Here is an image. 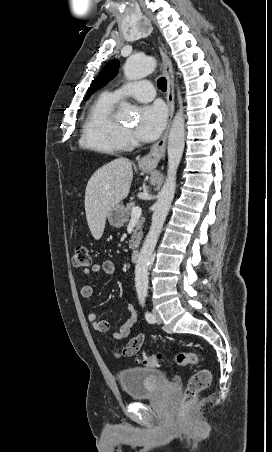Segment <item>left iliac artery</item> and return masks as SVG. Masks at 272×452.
Returning a JSON list of instances; mask_svg holds the SVG:
<instances>
[{"label":"left iliac artery","mask_w":272,"mask_h":452,"mask_svg":"<svg viewBox=\"0 0 272 452\" xmlns=\"http://www.w3.org/2000/svg\"><path fill=\"white\" fill-rule=\"evenodd\" d=\"M145 299H146V296H140L139 297V301H140V304L142 305V307L145 306ZM145 318H146V320L149 323H154L155 322L154 315L152 313L148 312V311L145 312Z\"/></svg>","instance_id":"44dca946"}]
</instances>
